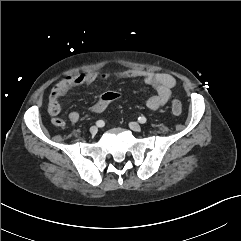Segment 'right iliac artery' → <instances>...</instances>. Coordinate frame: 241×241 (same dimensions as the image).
<instances>
[{"label": "right iliac artery", "instance_id": "82829eb1", "mask_svg": "<svg viewBox=\"0 0 241 241\" xmlns=\"http://www.w3.org/2000/svg\"><path fill=\"white\" fill-rule=\"evenodd\" d=\"M96 125H97L98 127H103V126L105 125V123H104V121L99 120V121L96 122Z\"/></svg>", "mask_w": 241, "mask_h": 241}]
</instances>
